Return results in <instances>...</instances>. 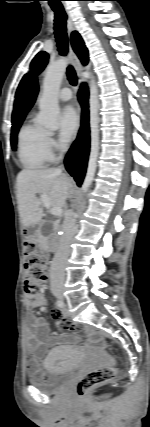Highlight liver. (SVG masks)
<instances>
[{
    "label": "liver",
    "instance_id": "obj_1",
    "mask_svg": "<svg viewBox=\"0 0 150 427\" xmlns=\"http://www.w3.org/2000/svg\"><path fill=\"white\" fill-rule=\"evenodd\" d=\"M71 179L58 169H24L17 176V200L23 226L40 224L43 210L36 194L46 195L52 208L63 207L69 197Z\"/></svg>",
    "mask_w": 150,
    "mask_h": 427
}]
</instances>
